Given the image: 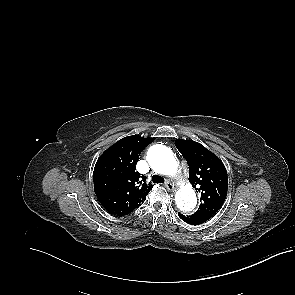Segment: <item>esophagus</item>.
<instances>
[{
    "label": "esophagus",
    "mask_w": 295,
    "mask_h": 295,
    "mask_svg": "<svg viewBox=\"0 0 295 295\" xmlns=\"http://www.w3.org/2000/svg\"><path fill=\"white\" fill-rule=\"evenodd\" d=\"M165 187L169 190V191H174L175 190V186L172 182H170L169 180H167L165 182Z\"/></svg>",
    "instance_id": "obj_1"
}]
</instances>
